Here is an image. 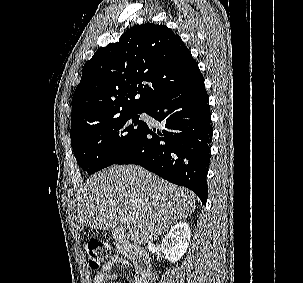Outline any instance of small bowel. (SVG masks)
Segmentation results:
<instances>
[{
    "mask_svg": "<svg viewBox=\"0 0 303 283\" xmlns=\"http://www.w3.org/2000/svg\"><path fill=\"white\" fill-rule=\"evenodd\" d=\"M123 262L122 258L118 255L112 256L103 266V269L94 277V283H106L108 280H115L116 275L110 274L113 267Z\"/></svg>",
    "mask_w": 303,
    "mask_h": 283,
    "instance_id": "small-bowel-1",
    "label": "small bowel"
}]
</instances>
